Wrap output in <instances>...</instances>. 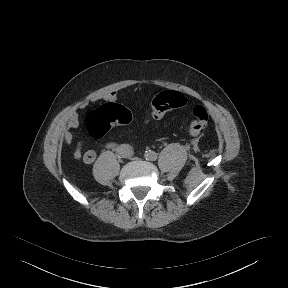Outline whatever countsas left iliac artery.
I'll list each match as a JSON object with an SVG mask.
<instances>
[{
    "label": "left iliac artery",
    "mask_w": 288,
    "mask_h": 288,
    "mask_svg": "<svg viewBox=\"0 0 288 288\" xmlns=\"http://www.w3.org/2000/svg\"><path fill=\"white\" fill-rule=\"evenodd\" d=\"M146 160L155 161L157 159V154L154 151H146L145 153Z\"/></svg>",
    "instance_id": "left-iliac-artery-1"
}]
</instances>
